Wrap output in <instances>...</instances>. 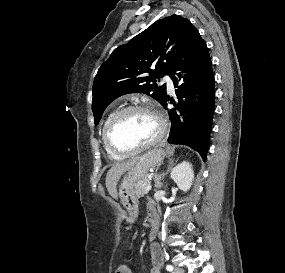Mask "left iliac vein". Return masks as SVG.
Returning <instances> with one entry per match:
<instances>
[{
	"mask_svg": "<svg viewBox=\"0 0 285 273\" xmlns=\"http://www.w3.org/2000/svg\"><path fill=\"white\" fill-rule=\"evenodd\" d=\"M173 273H184V270L180 267H176Z\"/></svg>",
	"mask_w": 285,
	"mask_h": 273,
	"instance_id": "4c4485c4",
	"label": "left iliac vein"
}]
</instances>
